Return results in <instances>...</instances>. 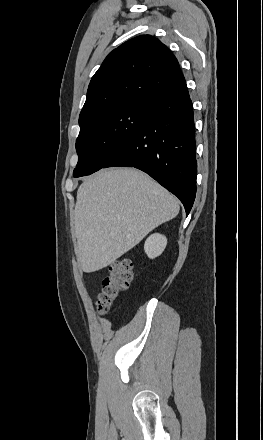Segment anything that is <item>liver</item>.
Wrapping results in <instances>:
<instances>
[{
  "label": "liver",
  "instance_id": "1",
  "mask_svg": "<svg viewBox=\"0 0 263 440\" xmlns=\"http://www.w3.org/2000/svg\"><path fill=\"white\" fill-rule=\"evenodd\" d=\"M179 209L173 195L137 169L113 168L88 178L74 210L81 269L91 273L111 265Z\"/></svg>",
  "mask_w": 263,
  "mask_h": 440
}]
</instances>
